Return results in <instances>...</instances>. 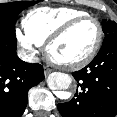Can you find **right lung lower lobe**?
Listing matches in <instances>:
<instances>
[{"label":"right lung lower lobe","mask_w":117,"mask_h":117,"mask_svg":"<svg viewBox=\"0 0 117 117\" xmlns=\"http://www.w3.org/2000/svg\"><path fill=\"white\" fill-rule=\"evenodd\" d=\"M16 48L15 28L0 25V117H20L28 90L44 79L43 67L20 60Z\"/></svg>","instance_id":"98d812e1"}]
</instances>
